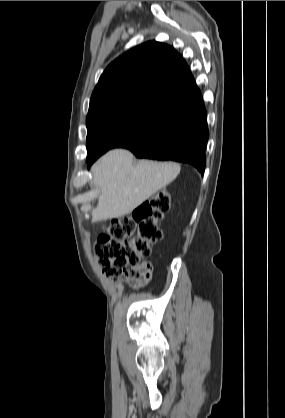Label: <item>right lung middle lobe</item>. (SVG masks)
<instances>
[{
	"label": "right lung middle lobe",
	"instance_id": "dd1d6c3e",
	"mask_svg": "<svg viewBox=\"0 0 285 418\" xmlns=\"http://www.w3.org/2000/svg\"><path fill=\"white\" fill-rule=\"evenodd\" d=\"M169 110L166 106L133 100L107 105L88 114L87 161L134 139Z\"/></svg>",
	"mask_w": 285,
	"mask_h": 418
}]
</instances>
